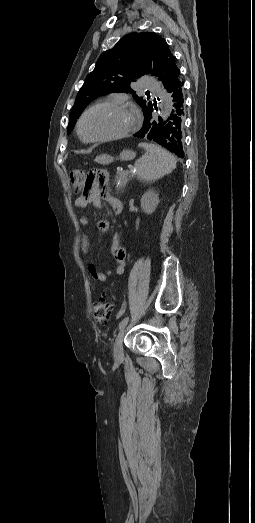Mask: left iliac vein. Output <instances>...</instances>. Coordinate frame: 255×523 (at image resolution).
Listing matches in <instances>:
<instances>
[{
  "label": "left iliac vein",
  "mask_w": 255,
  "mask_h": 523,
  "mask_svg": "<svg viewBox=\"0 0 255 523\" xmlns=\"http://www.w3.org/2000/svg\"><path fill=\"white\" fill-rule=\"evenodd\" d=\"M126 329L123 327L120 332L118 333L115 344H114V357L116 360H122L123 359V338L125 335Z\"/></svg>",
  "instance_id": "4c4485c4"
}]
</instances>
